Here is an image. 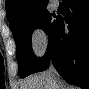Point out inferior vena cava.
<instances>
[{
  "instance_id": "inferior-vena-cava-1",
  "label": "inferior vena cava",
  "mask_w": 89,
  "mask_h": 89,
  "mask_svg": "<svg viewBox=\"0 0 89 89\" xmlns=\"http://www.w3.org/2000/svg\"><path fill=\"white\" fill-rule=\"evenodd\" d=\"M49 71L56 74V70L52 65L50 66Z\"/></svg>"
}]
</instances>
